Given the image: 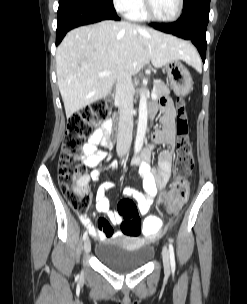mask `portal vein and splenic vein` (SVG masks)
I'll use <instances>...</instances> for the list:
<instances>
[{"mask_svg": "<svg viewBox=\"0 0 247 304\" xmlns=\"http://www.w3.org/2000/svg\"><path fill=\"white\" fill-rule=\"evenodd\" d=\"M110 74V72L108 71H104V72H101L99 73V77H105V76H108ZM152 97H156V94L152 91V94H151Z\"/></svg>", "mask_w": 247, "mask_h": 304, "instance_id": "1", "label": "portal vein and splenic vein"}]
</instances>
